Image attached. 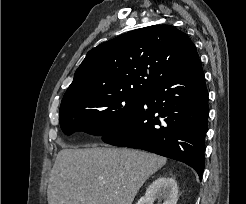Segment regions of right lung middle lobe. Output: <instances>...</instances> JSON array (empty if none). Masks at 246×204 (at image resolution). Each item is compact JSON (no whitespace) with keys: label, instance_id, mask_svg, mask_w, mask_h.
Wrapping results in <instances>:
<instances>
[{"label":"right lung middle lobe","instance_id":"right-lung-middle-lobe-1","mask_svg":"<svg viewBox=\"0 0 246 204\" xmlns=\"http://www.w3.org/2000/svg\"><path fill=\"white\" fill-rule=\"evenodd\" d=\"M141 95L142 93H116L68 104L60 108L61 129L67 135L84 131L103 136L127 120Z\"/></svg>","mask_w":246,"mask_h":204}]
</instances>
